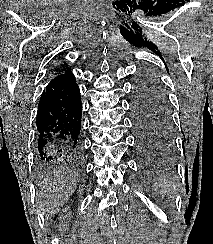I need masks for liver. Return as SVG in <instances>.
I'll list each match as a JSON object with an SVG mask.
<instances>
[{"label": "liver", "mask_w": 213, "mask_h": 244, "mask_svg": "<svg viewBox=\"0 0 213 244\" xmlns=\"http://www.w3.org/2000/svg\"><path fill=\"white\" fill-rule=\"evenodd\" d=\"M77 185V177L69 170L49 169L39 177L37 203L47 219L59 212Z\"/></svg>", "instance_id": "liver-1"}]
</instances>
